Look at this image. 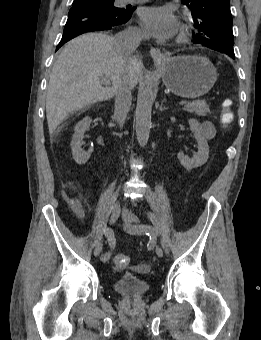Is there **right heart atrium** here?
<instances>
[{
  "mask_svg": "<svg viewBox=\"0 0 261 340\" xmlns=\"http://www.w3.org/2000/svg\"><path fill=\"white\" fill-rule=\"evenodd\" d=\"M129 33L132 35H141V31L137 28L130 29Z\"/></svg>",
  "mask_w": 261,
  "mask_h": 340,
  "instance_id": "right-heart-atrium-1",
  "label": "right heart atrium"
}]
</instances>
